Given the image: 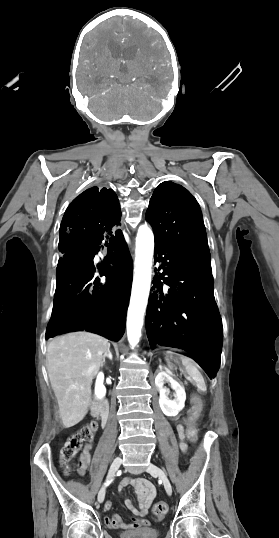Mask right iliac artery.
<instances>
[{
  "mask_svg": "<svg viewBox=\"0 0 279 538\" xmlns=\"http://www.w3.org/2000/svg\"><path fill=\"white\" fill-rule=\"evenodd\" d=\"M120 474H121V472L119 471V472H118V475H120ZM110 482H111V481H108V482L106 483V485H109Z\"/></svg>",
  "mask_w": 279,
  "mask_h": 538,
  "instance_id": "obj_1",
  "label": "right iliac artery"
}]
</instances>
